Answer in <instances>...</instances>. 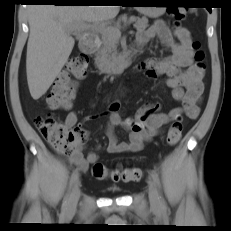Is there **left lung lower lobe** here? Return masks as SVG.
Segmentation results:
<instances>
[{"label":"left lung lower lobe","instance_id":"left-lung-lower-lobe-1","mask_svg":"<svg viewBox=\"0 0 231 231\" xmlns=\"http://www.w3.org/2000/svg\"><path fill=\"white\" fill-rule=\"evenodd\" d=\"M208 11L211 12V8L210 7H207Z\"/></svg>","mask_w":231,"mask_h":231}]
</instances>
